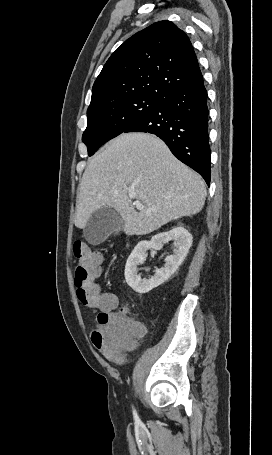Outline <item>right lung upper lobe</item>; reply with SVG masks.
I'll return each mask as SVG.
<instances>
[{"instance_id":"right-lung-upper-lobe-1","label":"right lung upper lobe","mask_w":272,"mask_h":455,"mask_svg":"<svg viewBox=\"0 0 272 455\" xmlns=\"http://www.w3.org/2000/svg\"><path fill=\"white\" fill-rule=\"evenodd\" d=\"M201 76L186 33L170 21H159L110 56L93 85L88 110L132 96L164 98Z\"/></svg>"}]
</instances>
